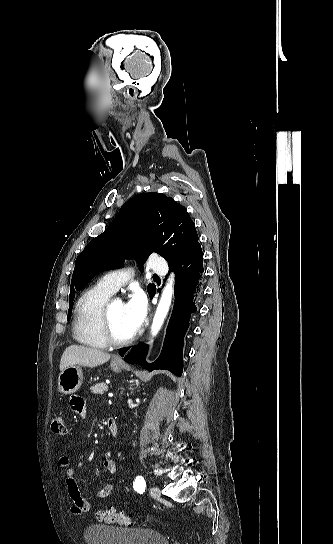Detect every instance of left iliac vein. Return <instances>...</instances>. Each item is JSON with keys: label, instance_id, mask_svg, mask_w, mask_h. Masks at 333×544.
I'll use <instances>...</instances> for the list:
<instances>
[{"label": "left iliac vein", "instance_id": "left-iliac-vein-1", "mask_svg": "<svg viewBox=\"0 0 333 544\" xmlns=\"http://www.w3.org/2000/svg\"><path fill=\"white\" fill-rule=\"evenodd\" d=\"M150 495L153 497V498H159L161 496V492H160V489L156 486L152 487L150 489Z\"/></svg>", "mask_w": 333, "mask_h": 544}]
</instances>
